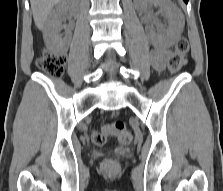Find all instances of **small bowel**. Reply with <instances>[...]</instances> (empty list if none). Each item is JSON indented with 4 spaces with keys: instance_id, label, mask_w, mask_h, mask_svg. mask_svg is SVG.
<instances>
[{
    "instance_id": "obj_1",
    "label": "small bowel",
    "mask_w": 223,
    "mask_h": 191,
    "mask_svg": "<svg viewBox=\"0 0 223 191\" xmlns=\"http://www.w3.org/2000/svg\"><path fill=\"white\" fill-rule=\"evenodd\" d=\"M170 51L165 48H155L150 52L149 61L154 69L162 71L165 68L166 61Z\"/></svg>"
}]
</instances>
